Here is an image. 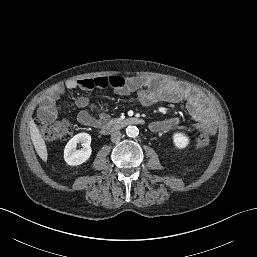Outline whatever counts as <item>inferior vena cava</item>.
I'll return each instance as SVG.
<instances>
[{"label": "inferior vena cava", "instance_id": "obj_1", "mask_svg": "<svg viewBox=\"0 0 257 257\" xmlns=\"http://www.w3.org/2000/svg\"><path fill=\"white\" fill-rule=\"evenodd\" d=\"M121 132L120 131H114L111 133V141L112 142H117L120 140L121 138Z\"/></svg>", "mask_w": 257, "mask_h": 257}]
</instances>
